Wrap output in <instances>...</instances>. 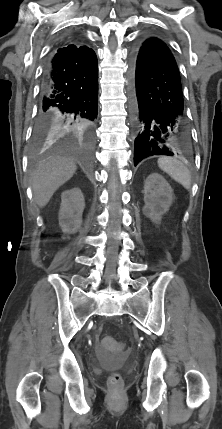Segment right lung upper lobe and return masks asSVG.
<instances>
[{
	"instance_id": "1",
	"label": "right lung upper lobe",
	"mask_w": 222,
	"mask_h": 429,
	"mask_svg": "<svg viewBox=\"0 0 222 429\" xmlns=\"http://www.w3.org/2000/svg\"><path fill=\"white\" fill-rule=\"evenodd\" d=\"M61 47H67L70 50L77 52V54L79 53V54L85 55V56H89L90 52L92 51V49L87 47V46H79V45H75V44H70L68 42H63L61 44Z\"/></svg>"
}]
</instances>
